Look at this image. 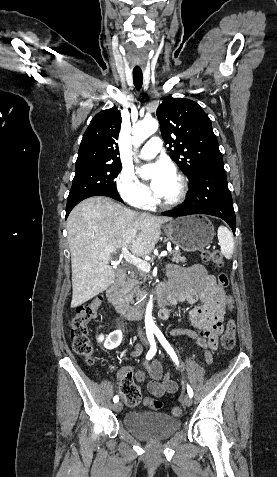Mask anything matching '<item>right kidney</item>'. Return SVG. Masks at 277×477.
Segmentation results:
<instances>
[{
	"mask_svg": "<svg viewBox=\"0 0 277 477\" xmlns=\"http://www.w3.org/2000/svg\"><path fill=\"white\" fill-rule=\"evenodd\" d=\"M123 334L121 330H115L105 339L103 335H100L97 340L103 342L106 349L112 350L117 348L122 342Z\"/></svg>",
	"mask_w": 277,
	"mask_h": 477,
	"instance_id": "right-kidney-1",
	"label": "right kidney"
}]
</instances>
